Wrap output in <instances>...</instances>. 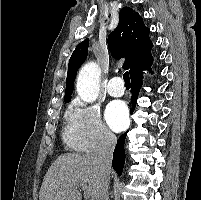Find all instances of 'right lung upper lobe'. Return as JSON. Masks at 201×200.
I'll return each mask as SVG.
<instances>
[{
	"instance_id": "right-lung-upper-lobe-1",
	"label": "right lung upper lobe",
	"mask_w": 201,
	"mask_h": 200,
	"mask_svg": "<svg viewBox=\"0 0 201 200\" xmlns=\"http://www.w3.org/2000/svg\"><path fill=\"white\" fill-rule=\"evenodd\" d=\"M119 24L108 36V47L115 58L125 57L123 67L130 71V77L152 64V42L148 29L142 18L129 7H124L119 13ZM89 40L85 39L77 45L68 64L66 91L64 100H71L74 80L78 68L88 55Z\"/></svg>"
}]
</instances>
